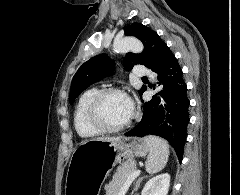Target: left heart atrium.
Returning a JSON list of instances; mask_svg holds the SVG:
<instances>
[{"label": "left heart atrium", "mask_w": 240, "mask_h": 195, "mask_svg": "<svg viewBox=\"0 0 240 195\" xmlns=\"http://www.w3.org/2000/svg\"><path fill=\"white\" fill-rule=\"evenodd\" d=\"M126 99H127V103H128V106H129L130 114L132 115L133 114V110H134L133 102H132V100L129 97H126Z\"/></svg>", "instance_id": "39dd6f15"}]
</instances>
